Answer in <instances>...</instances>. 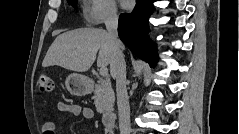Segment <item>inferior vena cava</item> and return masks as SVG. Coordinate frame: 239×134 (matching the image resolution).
I'll return each mask as SVG.
<instances>
[{"instance_id": "obj_1", "label": "inferior vena cava", "mask_w": 239, "mask_h": 134, "mask_svg": "<svg viewBox=\"0 0 239 134\" xmlns=\"http://www.w3.org/2000/svg\"><path fill=\"white\" fill-rule=\"evenodd\" d=\"M107 32L111 38L114 57L110 64L112 77L116 79V93L120 134H130V106L126 89V63L118 39V16L115 8L108 11L105 21Z\"/></svg>"}]
</instances>
